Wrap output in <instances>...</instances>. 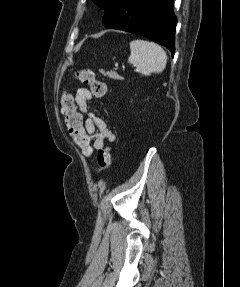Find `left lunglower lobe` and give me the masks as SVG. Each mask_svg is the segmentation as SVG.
<instances>
[{
    "instance_id": "left-lung-lower-lobe-1",
    "label": "left lung lower lobe",
    "mask_w": 240,
    "mask_h": 287,
    "mask_svg": "<svg viewBox=\"0 0 240 287\" xmlns=\"http://www.w3.org/2000/svg\"><path fill=\"white\" fill-rule=\"evenodd\" d=\"M173 0H110L102 25L145 36L168 48L174 56L177 19Z\"/></svg>"
}]
</instances>
